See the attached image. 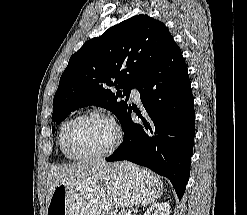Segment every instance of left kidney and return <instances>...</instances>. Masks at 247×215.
I'll return each instance as SVG.
<instances>
[{"mask_svg": "<svg viewBox=\"0 0 247 215\" xmlns=\"http://www.w3.org/2000/svg\"><path fill=\"white\" fill-rule=\"evenodd\" d=\"M170 205L167 202L155 203L147 208L144 215H169Z\"/></svg>", "mask_w": 247, "mask_h": 215, "instance_id": "1", "label": "left kidney"}]
</instances>
